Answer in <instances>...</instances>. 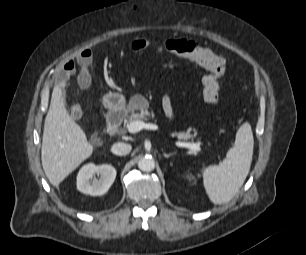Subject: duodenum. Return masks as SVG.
I'll list each match as a JSON object with an SVG mask.
<instances>
[{"label":"duodenum","mask_w":306,"mask_h":255,"mask_svg":"<svg viewBox=\"0 0 306 255\" xmlns=\"http://www.w3.org/2000/svg\"><path fill=\"white\" fill-rule=\"evenodd\" d=\"M125 116L124 107H117L109 110L107 114L108 132L116 135Z\"/></svg>","instance_id":"duodenum-1"}]
</instances>
